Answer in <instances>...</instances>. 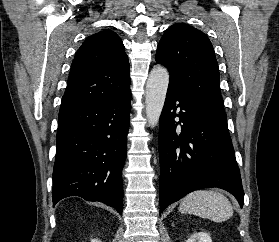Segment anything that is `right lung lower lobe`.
<instances>
[{
  "label": "right lung lower lobe",
  "mask_w": 279,
  "mask_h": 242,
  "mask_svg": "<svg viewBox=\"0 0 279 242\" xmlns=\"http://www.w3.org/2000/svg\"><path fill=\"white\" fill-rule=\"evenodd\" d=\"M131 91L98 102L60 109L53 170V205L78 196L123 209Z\"/></svg>",
  "instance_id": "right-lung-lower-lobe-1"
}]
</instances>
